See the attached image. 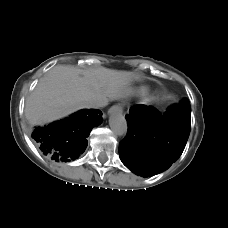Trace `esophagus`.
Segmentation results:
<instances>
[{
  "label": "esophagus",
  "instance_id": "obj_1",
  "mask_svg": "<svg viewBox=\"0 0 228 228\" xmlns=\"http://www.w3.org/2000/svg\"><path fill=\"white\" fill-rule=\"evenodd\" d=\"M122 107L120 105H114L108 110V114L121 113Z\"/></svg>",
  "mask_w": 228,
  "mask_h": 228
}]
</instances>
